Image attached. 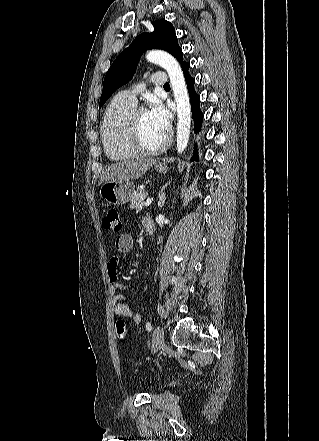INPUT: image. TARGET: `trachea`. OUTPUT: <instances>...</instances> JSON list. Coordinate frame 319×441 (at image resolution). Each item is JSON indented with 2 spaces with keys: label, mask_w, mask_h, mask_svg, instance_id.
I'll list each match as a JSON object with an SVG mask.
<instances>
[{
  "label": "trachea",
  "mask_w": 319,
  "mask_h": 441,
  "mask_svg": "<svg viewBox=\"0 0 319 441\" xmlns=\"http://www.w3.org/2000/svg\"><path fill=\"white\" fill-rule=\"evenodd\" d=\"M169 87H170L169 83H166V84L164 85V88H169Z\"/></svg>",
  "instance_id": "3493384b"
}]
</instances>
